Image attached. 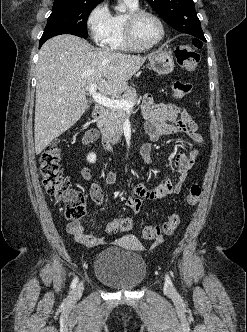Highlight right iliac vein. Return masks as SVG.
I'll use <instances>...</instances> for the list:
<instances>
[{
  "label": "right iliac vein",
  "mask_w": 247,
  "mask_h": 332,
  "mask_svg": "<svg viewBox=\"0 0 247 332\" xmlns=\"http://www.w3.org/2000/svg\"><path fill=\"white\" fill-rule=\"evenodd\" d=\"M83 289H84V284H83V282H80L74 290V293H73L74 297L80 296L83 292Z\"/></svg>",
  "instance_id": "1"
}]
</instances>
